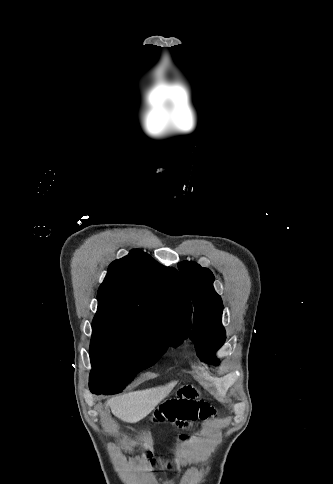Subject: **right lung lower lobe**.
I'll list each match as a JSON object with an SVG mask.
<instances>
[{
	"label": "right lung lower lobe",
	"instance_id": "98d812e1",
	"mask_svg": "<svg viewBox=\"0 0 333 484\" xmlns=\"http://www.w3.org/2000/svg\"><path fill=\"white\" fill-rule=\"evenodd\" d=\"M90 390H91L92 393H96V394L103 393L104 394V392L103 391H100V390H92V389H90Z\"/></svg>",
	"mask_w": 333,
	"mask_h": 484
}]
</instances>
